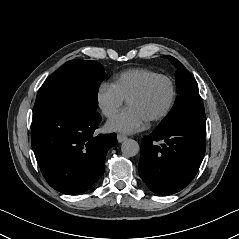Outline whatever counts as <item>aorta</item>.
<instances>
[{
	"instance_id": "obj_1",
	"label": "aorta",
	"mask_w": 239,
	"mask_h": 239,
	"mask_svg": "<svg viewBox=\"0 0 239 239\" xmlns=\"http://www.w3.org/2000/svg\"><path fill=\"white\" fill-rule=\"evenodd\" d=\"M121 151L124 156L133 157L139 153L140 147L137 141L133 139H127L122 143Z\"/></svg>"
}]
</instances>
